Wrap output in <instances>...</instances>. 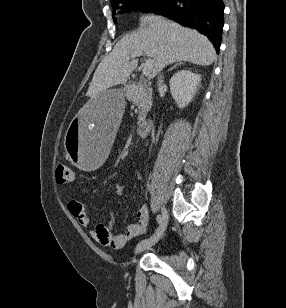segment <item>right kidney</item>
<instances>
[{"mask_svg":"<svg viewBox=\"0 0 286 308\" xmlns=\"http://www.w3.org/2000/svg\"><path fill=\"white\" fill-rule=\"evenodd\" d=\"M201 76L190 70H181L170 79V91L179 108L186 107L197 93Z\"/></svg>","mask_w":286,"mask_h":308,"instance_id":"1","label":"right kidney"}]
</instances>
